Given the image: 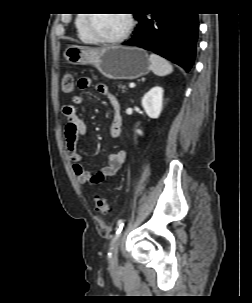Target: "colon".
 Listing matches in <instances>:
<instances>
[{"label":"colon","mask_w":252,"mask_h":303,"mask_svg":"<svg viewBox=\"0 0 252 303\" xmlns=\"http://www.w3.org/2000/svg\"><path fill=\"white\" fill-rule=\"evenodd\" d=\"M75 79L71 73L63 75L61 80V89L65 94H70L74 90ZM95 209L102 215H108L111 212V205L104 197H96Z\"/></svg>","instance_id":"colon-1"}]
</instances>
